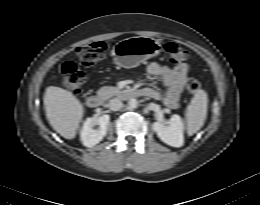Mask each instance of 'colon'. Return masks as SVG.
<instances>
[{
	"label": "colon",
	"mask_w": 260,
	"mask_h": 205,
	"mask_svg": "<svg viewBox=\"0 0 260 205\" xmlns=\"http://www.w3.org/2000/svg\"><path fill=\"white\" fill-rule=\"evenodd\" d=\"M165 52L172 63H180L187 59L186 48L175 42L165 44ZM107 46L104 42H93L76 48V54L83 65L94 66L100 63L106 55ZM86 76L82 70L72 61L62 65V83L71 92L78 93L85 83ZM200 83L196 79L187 82V90L196 94L200 90Z\"/></svg>",
	"instance_id": "1"
}]
</instances>
